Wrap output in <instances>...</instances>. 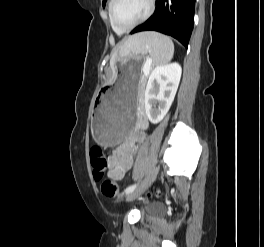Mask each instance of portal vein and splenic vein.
<instances>
[{"mask_svg": "<svg viewBox=\"0 0 264 247\" xmlns=\"http://www.w3.org/2000/svg\"><path fill=\"white\" fill-rule=\"evenodd\" d=\"M150 67H151V61L147 60L145 65H144V67H143V72H144L145 75L149 74Z\"/></svg>", "mask_w": 264, "mask_h": 247, "instance_id": "obj_1", "label": "portal vein and splenic vein"}]
</instances>
